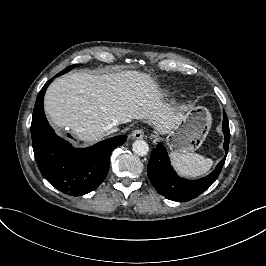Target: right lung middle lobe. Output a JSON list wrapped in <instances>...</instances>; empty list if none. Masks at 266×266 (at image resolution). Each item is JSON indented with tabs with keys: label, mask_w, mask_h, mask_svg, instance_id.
I'll list each match as a JSON object with an SVG mask.
<instances>
[{
	"label": "right lung middle lobe",
	"mask_w": 266,
	"mask_h": 266,
	"mask_svg": "<svg viewBox=\"0 0 266 266\" xmlns=\"http://www.w3.org/2000/svg\"><path fill=\"white\" fill-rule=\"evenodd\" d=\"M80 64H75V65H71L69 67H67L66 69H64L63 71L60 72V74H64L66 72H68L70 69L76 67V66H79Z\"/></svg>",
	"instance_id": "obj_1"
}]
</instances>
